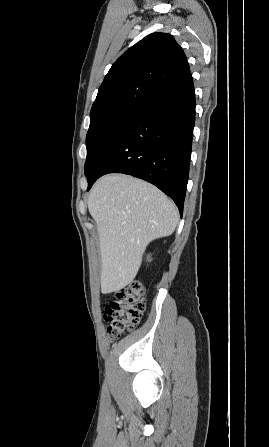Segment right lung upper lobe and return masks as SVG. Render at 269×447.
Masks as SVG:
<instances>
[{
	"label": "right lung upper lobe",
	"mask_w": 269,
	"mask_h": 447,
	"mask_svg": "<svg viewBox=\"0 0 269 447\" xmlns=\"http://www.w3.org/2000/svg\"><path fill=\"white\" fill-rule=\"evenodd\" d=\"M189 72L187 58L174 37L152 33L112 65L99 88L90 117L122 106H142Z\"/></svg>",
	"instance_id": "1"
}]
</instances>
